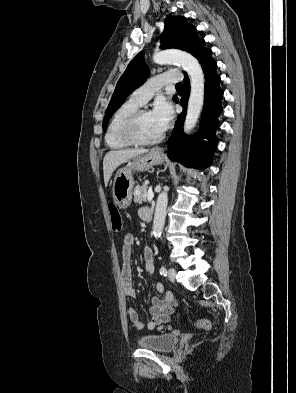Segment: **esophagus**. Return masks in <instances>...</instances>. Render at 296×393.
Wrapping results in <instances>:
<instances>
[{
	"label": "esophagus",
	"instance_id": "esophagus-1",
	"mask_svg": "<svg viewBox=\"0 0 296 393\" xmlns=\"http://www.w3.org/2000/svg\"><path fill=\"white\" fill-rule=\"evenodd\" d=\"M156 151L161 153L163 151V149L162 148H157Z\"/></svg>",
	"mask_w": 296,
	"mask_h": 393
}]
</instances>
